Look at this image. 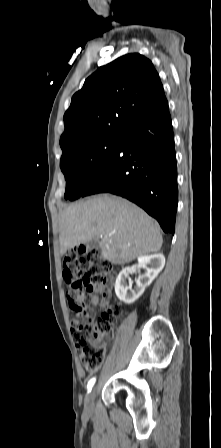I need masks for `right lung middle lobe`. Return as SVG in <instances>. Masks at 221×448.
Segmentation results:
<instances>
[{
  "mask_svg": "<svg viewBox=\"0 0 221 448\" xmlns=\"http://www.w3.org/2000/svg\"><path fill=\"white\" fill-rule=\"evenodd\" d=\"M118 136L87 142L62 157L60 167L66 179L65 199L81 197L112 154Z\"/></svg>",
  "mask_w": 221,
  "mask_h": 448,
  "instance_id": "dd1d6c3e",
  "label": "right lung middle lobe"
}]
</instances>
